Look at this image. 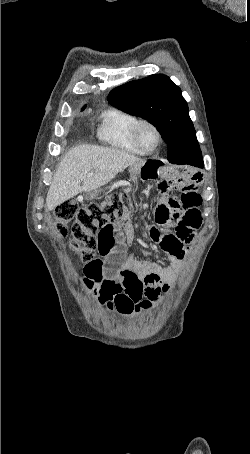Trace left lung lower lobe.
Here are the masks:
<instances>
[{"instance_id":"0a47b994","label":"left lung lower lobe","mask_w":250,"mask_h":454,"mask_svg":"<svg viewBox=\"0 0 250 454\" xmlns=\"http://www.w3.org/2000/svg\"><path fill=\"white\" fill-rule=\"evenodd\" d=\"M168 160L170 163H173V164H190V165H194L197 167L204 166L202 157H198V156L190 155V154L182 155L179 157L175 156V157L169 158Z\"/></svg>"}]
</instances>
